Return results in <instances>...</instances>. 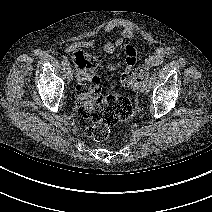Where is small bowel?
Returning a JSON list of instances; mask_svg holds the SVG:
<instances>
[{
  "mask_svg": "<svg viewBox=\"0 0 212 212\" xmlns=\"http://www.w3.org/2000/svg\"><path fill=\"white\" fill-rule=\"evenodd\" d=\"M117 28H121L119 38L114 41L107 42L103 51L106 54H113L123 43L127 40L140 41L142 40L141 35L136 32V30L130 25L126 23H120L118 21H110L108 22L104 28L103 33H109ZM96 44L94 39L81 40L72 43L69 45L65 51L73 52L81 51L84 49H88L93 47ZM170 53V50L166 47L158 48L154 54L144 58L140 64H138V51L135 47L131 45L124 46V60L120 62H109L107 63V68L109 70H116L119 68H124V72L122 75H130L132 78H135L138 83L134 84L132 87L136 88L137 85L141 82L143 75L151 70L152 68L161 64L165 57H167Z\"/></svg>",
  "mask_w": 212,
  "mask_h": 212,
  "instance_id": "obj_1",
  "label": "small bowel"
}]
</instances>
